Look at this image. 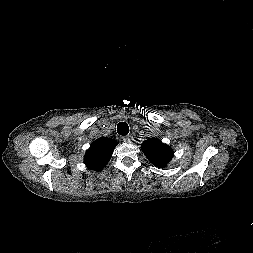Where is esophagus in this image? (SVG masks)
<instances>
[{"instance_id": "esophagus-1", "label": "esophagus", "mask_w": 253, "mask_h": 253, "mask_svg": "<svg viewBox=\"0 0 253 253\" xmlns=\"http://www.w3.org/2000/svg\"><path fill=\"white\" fill-rule=\"evenodd\" d=\"M123 141L125 143H131L133 141V137L132 136H125V137H123Z\"/></svg>"}]
</instances>
